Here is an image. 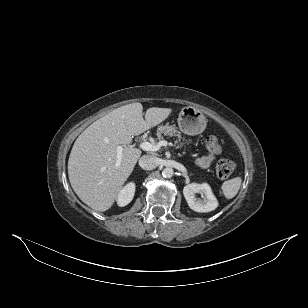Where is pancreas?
<instances>
[{
	"instance_id": "1",
	"label": "pancreas",
	"mask_w": 308,
	"mask_h": 308,
	"mask_svg": "<svg viewBox=\"0 0 308 308\" xmlns=\"http://www.w3.org/2000/svg\"><path fill=\"white\" fill-rule=\"evenodd\" d=\"M162 135L168 137H177V140L175 141V144H177V148H181L184 145V143H181L182 137L180 135V132L177 131L174 126H169L168 124L160 125L157 128V139L161 141L163 139Z\"/></svg>"
}]
</instances>
